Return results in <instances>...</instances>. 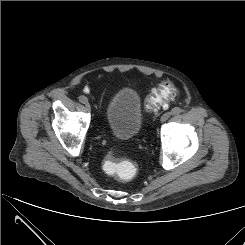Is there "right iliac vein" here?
Segmentation results:
<instances>
[{
	"mask_svg": "<svg viewBox=\"0 0 245 245\" xmlns=\"http://www.w3.org/2000/svg\"><path fill=\"white\" fill-rule=\"evenodd\" d=\"M85 98H86V97H85ZM83 103L86 105L87 108H90V105H89V103H88L87 98L85 99V101H84Z\"/></svg>",
	"mask_w": 245,
	"mask_h": 245,
	"instance_id": "63e3f726",
	"label": "right iliac vein"
}]
</instances>
